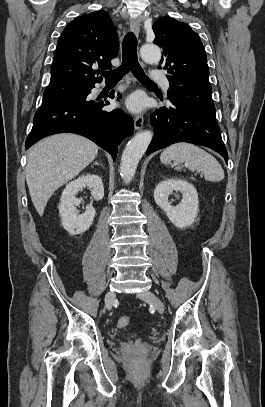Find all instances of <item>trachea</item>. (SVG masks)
I'll list each match as a JSON object with an SVG mask.
<instances>
[{"mask_svg": "<svg viewBox=\"0 0 265 407\" xmlns=\"http://www.w3.org/2000/svg\"><path fill=\"white\" fill-rule=\"evenodd\" d=\"M122 56V63L117 69L110 72H100L107 81H119L124 75L131 71L142 84L156 86V84L146 76L138 62L137 39L132 32L127 33L124 37L122 43Z\"/></svg>", "mask_w": 265, "mask_h": 407, "instance_id": "obj_1", "label": "trachea"}]
</instances>
